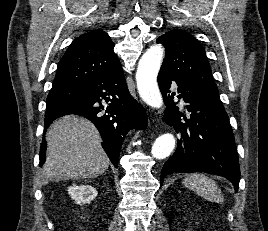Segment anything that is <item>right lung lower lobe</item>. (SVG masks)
Returning a JSON list of instances; mask_svg holds the SVG:
<instances>
[{
	"mask_svg": "<svg viewBox=\"0 0 268 231\" xmlns=\"http://www.w3.org/2000/svg\"><path fill=\"white\" fill-rule=\"evenodd\" d=\"M83 94L58 105L46 106L45 130L56 118L78 114L92 121L98 128L102 146L110 161L118 167L121 145L128 131L145 128L147 116L144 109L130 95L119 63L106 74L92 80L83 88ZM109 102L108 104L102 101ZM46 142L40 148V166L45 162Z\"/></svg>",
	"mask_w": 268,
	"mask_h": 231,
	"instance_id": "1",
	"label": "right lung lower lobe"
}]
</instances>
